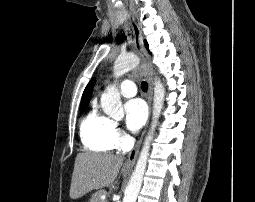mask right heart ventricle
Instances as JSON below:
<instances>
[{"label": "right heart ventricle", "instance_id": "1", "mask_svg": "<svg viewBox=\"0 0 255 202\" xmlns=\"http://www.w3.org/2000/svg\"><path fill=\"white\" fill-rule=\"evenodd\" d=\"M113 121L101 114L96 108L91 109L83 118L80 135L84 147L93 152H107L114 147L112 130Z\"/></svg>", "mask_w": 255, "mask_h": 202}]
</instances>
